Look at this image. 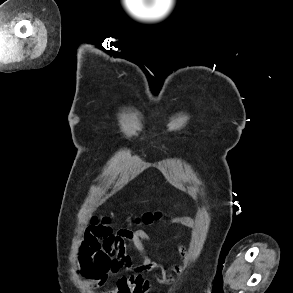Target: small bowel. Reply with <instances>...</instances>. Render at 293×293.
<instances>
[{
	"label": "small bowel",
	"mask_w": 293,
	"mask_h": 293,
	"mask_svg": "<svg viewBox=\"0 0 293 293\" xmlns=\"http://www.w3.org/2000/svg\"><path fill=\"white\" fill-rule=\"evenodd\" d=\"M181 224L195 232V226L187 221L174 219L163 223L162 226ZM152 240L151 231L120 229L113 232L110 229L102 231L91 230L79 243V254L76 258L77 270L86 276L85 286L102 287L109 276H117L114 287L105 293H148L151 284L141 273L151 271L159 284H168L174 274L182 270V266L174 264L169 268L161 266L149 256L146 244ZM129 243L140 259L136 267V274L120 275L121 272L130 273L134 265L127 251ZM176 250L182 259H186V247L176 244Z\"/></svg>",
	"instance_id": "small-bowel-1"
}]
</instances>
